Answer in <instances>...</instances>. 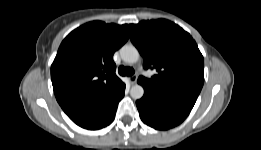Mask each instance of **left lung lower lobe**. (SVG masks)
<instances>
[{
	"label": "left lung lower lobe",
	"instance_id": "obj_1",
	"mask_svg": "<svg viewBox=\"0 0 261 150\" xmlns=\"http://www.w3.org/2000/svg\"><path fill=\"white\" fill-rule=\"evenodd\" d=\"M196 100L170 92L144 87V96L136 101L142 121L159 130L180 124L192 110Z\"/></svg>",
	"mask_w": 261,
	"mask_h": 150
}]
</instances>
